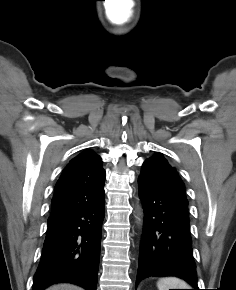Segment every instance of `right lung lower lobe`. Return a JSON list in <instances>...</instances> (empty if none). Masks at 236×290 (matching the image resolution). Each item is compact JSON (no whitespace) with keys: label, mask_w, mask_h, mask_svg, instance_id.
<instances>
[{"label":"right lung lower lobe","mask_w":236,"mask_h":290,"mask_svg":"<svg viewBox=\"0 0 236 290\" xmlns=\"http://www.w3.org/2000/svg\"><path fill=\"white\" fill-rule=\"evenodd\" d=\"M104 196L48 224L32 290L70 282L96 290L100 258Z\"/></svg>","instance_id":"right-lung-lower-lobe-1"}]
</instances>
